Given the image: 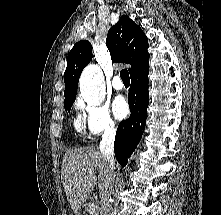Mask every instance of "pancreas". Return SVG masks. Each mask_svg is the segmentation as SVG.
<instances>
[{
  "instance_id": "1",
  "label": "pancreas",
  "mask_w": 221,
  "mask_h": 215,
  "mask_svg": "<svg viewBox=\"0 0 221 215\" xmlns=\"http://www.w3.org/2000/svg\"><path fill=\"white\" fill-rule=\"evenodd\" d=\"M90 208H91V204L89 203V204H87V205L85 206V211L89 212ZM98 213H99L98 210H97V212H95V213H93V214H91V213L89 212L90 215H98Z\"/></svg>"
}]
</instances>
